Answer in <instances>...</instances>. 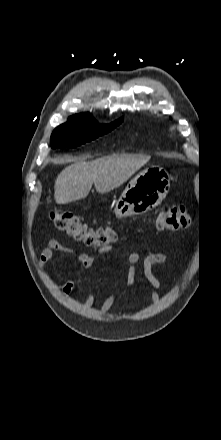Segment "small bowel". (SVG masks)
I'll return each instance as SVG.
<instances>
[{"mask_svg":"<svg viewBox=\"0 0 221 440\" xmlns=\"http://www.w3.org/2000/svg\"><path fill=\"white\" fill-rule=\"evenodd\" d=\"M110 250V247L99 249L96 254H89L86 252H76L72 248L64 246L56 240H49L48 245L44 248L38 260V266L42 268L48 261H50L58 252H68L75 254L77 261L84 270L92 268L97 255L105 253ZM143 258V259H142ZM167 255L160 252H146L135 251L128 255V266L126 270L127 283L129 285L134 283L137 275V264L142 259V272L147 281L144 291L150 296V303H156L159 299V293L161 291V283L154 274L153 268L156 265H161L167 261ZM75 282L68 280L62 287V293L69 295L75 289ZM116 297L114 294H110L102 303L100 310L104 313L110 310L114 305ZM94 302L93 293L90 292L88 298L84 301L83 306L85 308L90 307Z\"/></svg>","mask_w":221,"mask_h":440,"instance_id":"c3829d8e","label":"small bowel"}]
</instances>
